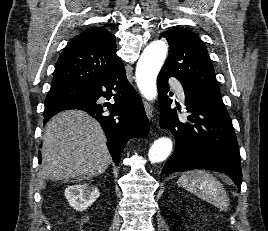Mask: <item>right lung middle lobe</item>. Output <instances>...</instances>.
<instances>
[{"instance_id": "1", "label": "right lung middle lobe", "mask_w": 268, "mask_h": 231, "mask_svg": "<svg viewBox=\"0 0 268 231\" xmlns=\"http://www.w3.org/2000/svg\"><path fill=\"white\" fill-rule=\"evenodd\" d=\"M87 94V88L73 85L51 86L46 97L45 105L50 103L65 102L83 98Z\"/></svg>"}]
</instances>
